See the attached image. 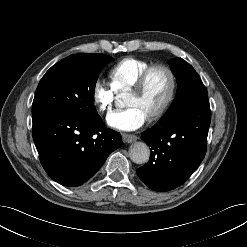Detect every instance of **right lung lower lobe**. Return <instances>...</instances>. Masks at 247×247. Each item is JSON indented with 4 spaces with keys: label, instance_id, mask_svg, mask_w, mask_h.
<instances>
[{
    "label": "right lung lower lobe",
    "instance_id": "1",
    "mask_svg": "<svg viewBox=\"0 0 247 247\" xmlns=\"http://www.w3.org/2000/svg\"><path fill=\"white\" fill-rule=\"evenodd\" d=\"M33 139L41 164L56 182L80 186L122 145L120 133L104 127L102 119L71 110L33 118Z\"/></svg>",
    "mask_w": 247,
    "mask_h": 247
}]
</instances>
